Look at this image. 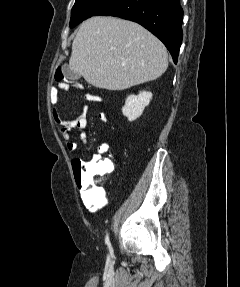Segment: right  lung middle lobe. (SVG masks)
I'll return each mask as SVG.
<instances>
[{
    "label": "right lung middle lobe",
    "mask_w": 240,
    "mask_h": 287,
    "mask_svg": "<svg viewBox=\"0 0 240 287\" xmlns=\"http://www.w3.org/2000/svg\"><path fill=\"white\" fill-rule=\"evenodd\" d=\"M107 0H76L72 8L70 27L93 16Z\"/></svg>",
    "instance_id": "right-lung-middle-lobe-1"
}]
</instances>
